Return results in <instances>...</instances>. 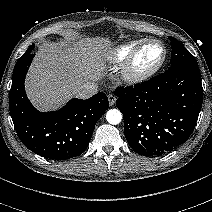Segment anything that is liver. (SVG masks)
Listing matches in <instances>:
<instances>
[{
  "mask_svg": "<svg viewBox=\"0 0 212 212\" xmlns=\"http://www.w3.org/2000/svg\"><path fill=\"white\" fill-rule=\"evenodd\" d=\"M109 43L102 38H76L70 44L39 49L26 79V92L40 110H54L87 82L97 81L104 70Z\"/></svg>",
  "mask_w": 212,
  "mask_h": 212,
  "instance_id": "obj_1",
  "label": "liver"
}]
</instances>
